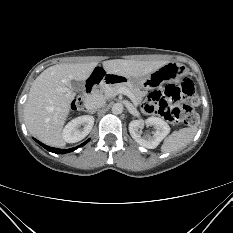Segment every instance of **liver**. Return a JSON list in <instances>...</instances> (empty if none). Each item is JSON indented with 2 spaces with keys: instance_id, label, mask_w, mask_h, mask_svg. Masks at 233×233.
<instances>
[{
  "instance_id": "liver-1",
  "label": "liver",
  "mask_w": 233,
  "mask_h": 233,
  "mask_svg": "<svg viewBox=\"0 0 233 233\" xmlns=\"http://www.w3.org/2000/svg\"><path fill=\"white\" fill-rule=\"evenodd\" d=\"M167 61H135L114 59L102 63L108 74L140 78L165 65ZM97 62L57 64L44 70L33 82L24 106L28 131L50 146H64L63 126L76 93L71 81H85Z\"/></svg>"
}]
</instances>
